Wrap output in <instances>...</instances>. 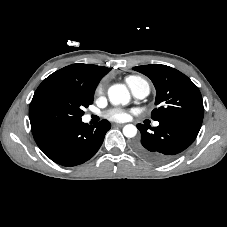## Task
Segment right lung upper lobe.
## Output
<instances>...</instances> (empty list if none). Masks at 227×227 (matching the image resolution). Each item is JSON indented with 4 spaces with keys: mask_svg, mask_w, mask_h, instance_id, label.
I'll return each mask as SVG.
<instances>
[{
    "mask_svg": "<svg viewBox=\"0 0 227 227\" xmlns=\"http://www.w3.org/2000/svg\"><path fill=\"white\" fill-rule=\"evenodd\" d=\"M109 71L110 69L107 67L77 63L66 66L49 77L60 79L78 85L86 91L94 92L99 81Z\"/></svg>",
    "mask_w": 227,
    "mask_h": 227,
    "instance_id": "1",
    "label": "right lung upper lobe"
}]
</instances>
